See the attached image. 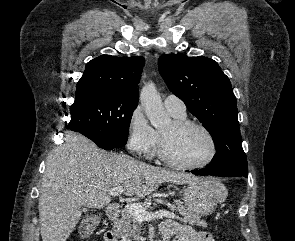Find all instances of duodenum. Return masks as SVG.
<instances>
[{"mask_svg":"<svg viewBox=\"0 0 295 241\" xmlns=\"http://www.w3.org/2000/svg\"><path fill=\"white\" fill-rule=\"evenodd\" d=\"M121 214V207L117 203H112L107 208V215L110 219H117ZM162 238L164 239L165 236L162 235Z\"/></svg>","mask_w":295,"mask_h":241,"instance_id":"1","label":"duodenum"}]
</instances>
